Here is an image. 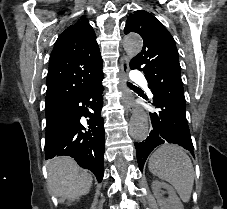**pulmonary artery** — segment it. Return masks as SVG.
Returning a JSON list of instances; mask_svg holds the SVG:
<instances>
[{
	"instance_id": "pulmonary-artery-1",
	"label": "pulmonary artery",
	"mask_w": 227,
	"mask_h": 209,
	"mask_svg": "<svg viewBox=\"0 0 227 209\" xmlns=\"http://www.w3.org/2000/svg\"><path fill=\"white\" fill-rule=\"evenodd\" d=\"M128 78H131V83H142L144 73H140L139 70H133L132 73L127 74Z\"/></svg>"
}]
</instances>
